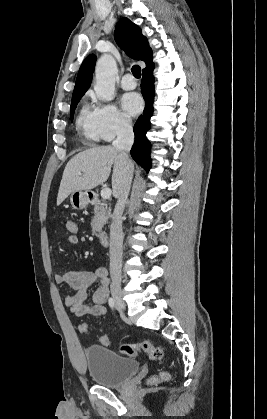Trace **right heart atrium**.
Masks as SVG:
<instances>
[{
    "mask_svg": "<svg viewBox=\"0 0 267 419\" xmlns=\"http://www.w3.org/2000/svg\"><path fill=\"white\" fill-rule=\"evenodd\" d=\"M97 122L100 138L111 141L131 129L132 122L116 105L97 103Z\"/></svg>",
    "mask_w": 267,
    "mask_h": 419,
    "instance_id": "1",
    "label": "right heart atrium"
}]
</instances>
